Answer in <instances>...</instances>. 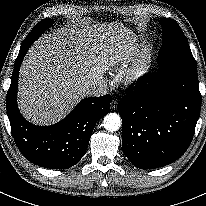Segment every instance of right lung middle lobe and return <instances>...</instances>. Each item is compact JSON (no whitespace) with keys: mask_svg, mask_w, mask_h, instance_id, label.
I'll return each instance as SVG.
<instances>
[{"mask_svg":"<svg viewBox=\"0 0 206 206\" xmlns=\"http://www.w3.org/2000/svg\"><path fill=\"white\" fill-rule=\"evenodd\" d=\"M52 23L53 22L51 19H43L33 28V30L29 33L27 37L30 38L36 36V38H38L43 33V31L47 29Z\"/></svg>","mask_w":206,"mask_h":206,"instance_id":"obj_1","label":"right lung middle lobe"}]
</instances>
